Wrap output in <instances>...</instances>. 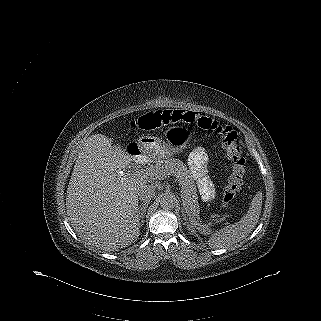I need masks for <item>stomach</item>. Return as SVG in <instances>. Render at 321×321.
<instances>
[{
  "mask_svg": "<svg viewBox=\"0 0 321 321\" xmlns=\"http://www.w3.org/2000/svg\"><path fill=\"white\" fill-rule=\"evenodd\" d=\"M166 141L154 136H142L136 143L137 148L153 157H168L187 147L185 130L179 126L169 127L165 132Z\"/></svg>",
  "mask_w": 321,
  "mask_h": 321,
  "instance_id": "0dacf381",
  "label": "stomach"
}]
</instances>
